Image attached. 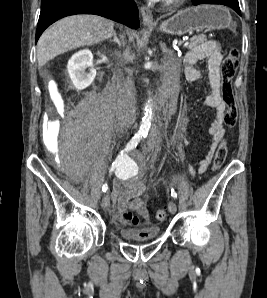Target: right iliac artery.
I'll use <instances>...</instances> for the list:
<instances>
[{
	"label": "right iliac artery",
	"instance_id": "82829eb1",
	"mask_svg": "<svg viewBox=\"0 0 267 298\" xmlns=\"http://www.w3.org/2000/svg\"><path fill=\"white\" fill-rule=\"evenodd\" d=\"M141 139V136L135 135L126 145L125 149L120 152V154L117 156L115 163H113V167L110 170V173L114 170L115 167H119L124 165L129 159V156L127 155L128 152L133 150L137 144L139 143ZM115 164V165H114ZM108 190L107 184H104L102 187V191L106 192Z\"/></svg>",
	"mask_w": 267,
	"mask_h": 298
}]
</instances>
